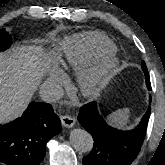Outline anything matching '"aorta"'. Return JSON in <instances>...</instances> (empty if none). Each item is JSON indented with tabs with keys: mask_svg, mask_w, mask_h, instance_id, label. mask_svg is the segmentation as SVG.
<instances>
[{
	"mask_svg": "<svg viewBox=\"0 0 165 165\" xmlns=\"http://www.w3.org/2000/svg\"><path fill=\"white\" fill-rule=\"evenodd\" d=\"M70 142L79 152H90L93 148V138L89 132L83 129H73L70 132Z\"/></svg>",
	"mask_w": 165,
	"mask_h": 165,
	"instance_id": "762f6f07",
	"label": "aorta"
}]
</instances>
